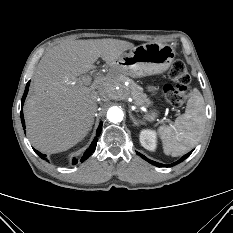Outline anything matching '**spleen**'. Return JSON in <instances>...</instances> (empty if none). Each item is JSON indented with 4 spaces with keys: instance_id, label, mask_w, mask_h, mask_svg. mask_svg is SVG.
<instances>
[{
    "instance_id": "spleen-1",
    "label": "spleen",
    "mask_w": 233,
    "mask_h": 233,
    "mask_svg": "<svg viewBox=\"0 0 233 233\" xmlns=\"http://www.w3.org/2000/svg\"><path fill=\"white\" fill-rule=\"evenodd\" d=\"M206 123L205 103L197 89L190 94L186 111L173 125L161 126L158 134L166 155L177 157L187 153L199 141Z\"/></svg>"
}]
</instances>
